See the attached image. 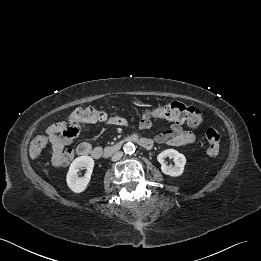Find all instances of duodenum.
I'll use <instances>...</instances> for the list:
<instances>
[{"mask_svg":"<svg viewBox=\"0 0 261 261\" xmlns=\"http://www.w3.org/2000/svg\"><path fill=\"white\" fill-rule=\"evenodd\" d=\"M126 142L137 143L138 145H140L141 147H143L145 149H151L153 146V142L151 140L144 138L138 134H132V135L128 136L124 141H121V142H118L116 144L106 147L103 150L102 155L104 157H109L110 155L119 151L122 148L123 144Z\"/></svg>","mask_w":261,"mask_h":261,"instance_id":"1","label":"duodenum"}]
</instances>
